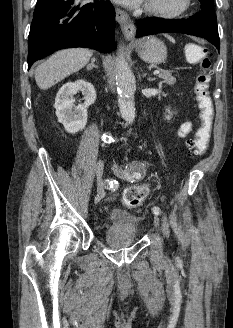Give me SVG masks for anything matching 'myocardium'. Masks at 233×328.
<instances>
[{
	"instance_id": "1",
	"label": "myocardium",
	"mask_w": 233,
	"mask_h": 328,
	"mask_svg": "<svg viewBox=\"0 0 233 328\" xmlns=\"http://www.w3.org/2000/svg\"><path fill=\"white\" fill-rule=\"evenodd\" d=\"M192 0H180L179 4L175 8H161L152 5L150 2L146 5V12L150 15L165 18V19H177L183 17L190 9Z\"/></svg>"
}]
</instances>
